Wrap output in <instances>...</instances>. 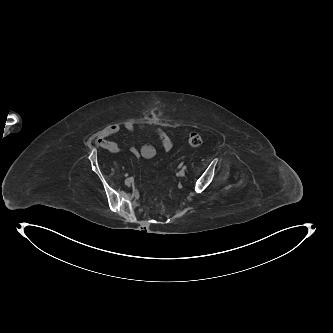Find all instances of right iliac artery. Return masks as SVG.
<instances>
[{"mask_svg": "<svg viewBox=\"0 0 333 333\" xmlns=\"http://www.w3.org/2000/svg\"><path fill=\"white\" fill-rule=\"evenodd\" d=\"M124 176L127 177L128 173H125ZM125 184L128 185V182L126 180H125Z\"/></svg>", "mask_w": 333, "mask_h": 333, "instance_id": "right-iliac-artery-1", "label": "right iliac artery"}]
</instances>
